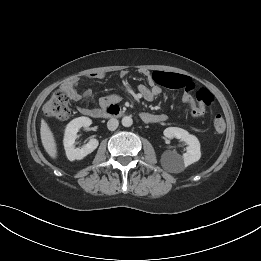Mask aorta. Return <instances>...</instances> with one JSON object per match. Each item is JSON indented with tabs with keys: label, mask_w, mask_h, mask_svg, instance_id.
Listing matches in <instances>:
<instances>
[{
	"label": "aorta",
	"mask_w": 261,
	"mask_h": 261,
	"mask_svg": "<svg viewBox=\"0 0 261 261\" xmlns=\"http://www.w3.org/2000/svg\"><path fill=\"white\" fill-rule=\"evenodd\" d=\"M121 122L124 127H130L133 124V120L130 116H124Z\"/></svg>",
	"instance_id": "1"
}]
</instances>
